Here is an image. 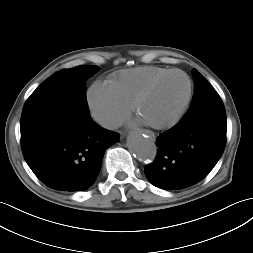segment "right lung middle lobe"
<instances>
[{
  "instance_id": "right-lung-middle-lobe-1",
  "label": "right lung middle lobe",
  "mask_w": 253,
  "mask_h": 253,
  "mask_svg": "<svg viewBox=\"0 0 253 253\" xmlns=\"http://www.w3.org/2000/svg\"><path fill=\"white\" fill-rule=\"evenodd\" d=\"M99 70L82 65L61 70L45 80L27 99L21 124L59 109H76L89 113L85 83Z\"/></svg>"
}]
</instances>
